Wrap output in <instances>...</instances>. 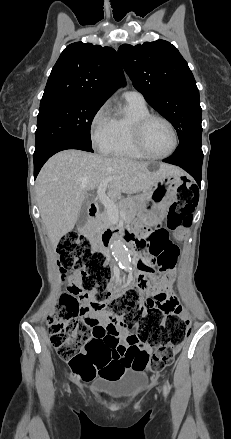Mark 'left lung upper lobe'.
Here are the masks:
<instances>
[{
    "instance_id": "obj_1",
    "label": "left lung upper lobe",
    "mask_w": 231,
    "mask_h": 439,
    "mask_svg": "<svg viewBox=\"0 0 231 439\" xmlns=\"http://www.w3.org/2000/svg\"><path fill=\"white\" fill-rule=\"evenodd\" d=\"M118 55L133 86L174 126L179 141L188 133L202 130L199 90L174 45L165 40L123 44Z\"/></svg>"
}]
</instances>
